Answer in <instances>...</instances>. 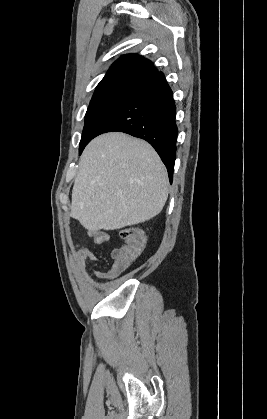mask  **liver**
I'll use <instances>...</instances> for the list:
<instances>
[{
  "label": "liver",
  "mask_w": 267,
  "mask_h": 419,
  "mask_svg": "<svg viewBox=\"0 0 267 419\" xmlns=\"http://www.w3.org/2000/svg\"><path fill=\"white\" fill-rule=\"evenodd\" d=\"M168 197L167 171L150 144L121 132L94 138L85 148L70 216L93 232L148 221Z\"/></svg>",
  "instance_id": "liver-1"
}]
</instances>
